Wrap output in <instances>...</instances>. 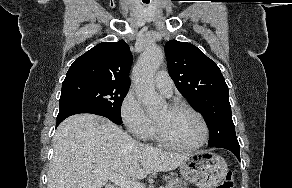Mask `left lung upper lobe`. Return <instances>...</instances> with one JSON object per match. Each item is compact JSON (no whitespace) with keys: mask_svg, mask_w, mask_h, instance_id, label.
Listing matches in <instances>:
<instances>
[{"mask_svg":"<svg viewBox=\"0 0 292 188\" xmlns=\"http://www.w3.org/2000/svg\"><path fill=\"white\" fill-rule=\"evenodd\" d=\"M165 52L177 89L207 121L209 147L236 137L228 86L219 67L187 42L168 41Z\"/></svg>","mask_w":292,"mask_h":188,"instance_id":"5c2ea615","label":"left lung upper lobe"}]
</instances>
